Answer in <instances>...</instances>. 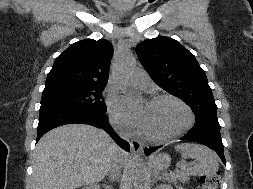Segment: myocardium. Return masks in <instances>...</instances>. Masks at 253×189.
I'll return each instance as SVG.
<instances>
[{"instance_id": "myocardium-1", "label": "myocardium", "mask_w": 253, "mask_h": 189, "mask_svg": "<svg viewBox=\"0 0 253 189\" xmlns=\"http://www.w3.org/2000/svg\"><path fill=\"white\" fill-rule=\"evenodd\" d=\"M163 100L171 101V102L177 104L178 106H180L186 113V121L176 131L172 132L171 134L164 135V136L153 135L151 133H148V132L142 130V134L147 139L152 140V141H156V142H166V141H169V140L179 137L180 135H182L186 131H188L193 126L194 121H195V117H194V114H193L191 108L183 100H181L180 98H178L174 95L158 94V95L153 96L150 99V103H156V102L163 101Z\"/></svg>"}]
</instances>
